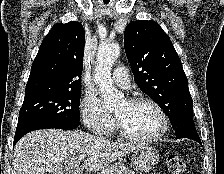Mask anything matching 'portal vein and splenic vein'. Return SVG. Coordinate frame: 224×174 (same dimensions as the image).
<instances>
[{
    "label": "portal vein and splenic vein",
    "instance_id": "18ae733b",
    "mask_svg": "<svg viewBox=\"0 0 224 174\" xmlns=\"http://www.w3.org/2000/svg\"><path fill=\"white\" fill-rule=\"evenodd\" d=\"M84 159V157L78 158L79 162H81Z\"/></svg>",
    "mask_w": 224,
    "mask_h": 174
}]
</instances>
